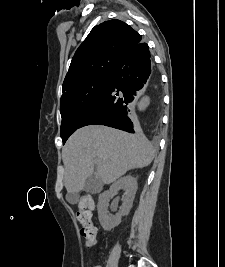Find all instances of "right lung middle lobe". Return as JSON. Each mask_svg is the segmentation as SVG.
I'll return each mask as SVG.
<instances>
[{"label":"right lung middle lobe","mask_w":225,"mask_h":267,"mask_svg":"<svg viewBox=\"0 0 225 267\" xmlns=\"http://www.w3.org/2000/svg\"><path fill=\"white\" fill-rule=\"evenodd\" d=\"M110 79L111 74L93 77L63 91L60 105L62 117L60 134L63 143L97 105Z\"/></svg>","instance_id":"right-lung-middle-lobe-1"}]
</instances>
